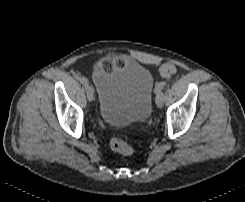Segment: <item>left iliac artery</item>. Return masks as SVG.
Instances as JSON below:
<instances>
[{
    "mask_svg": "<svg viewBox=\"0 0 245 202\" xmlns=\"http://www.w3.org/2000/svg\"><path fill=\"white\" fill-rule=\"evenodd\" d=\"M167 86L166 82H161L156 85L155 93L156 97L161 93L162 89Z\"/></svg>",
    "mask_w": 245,
    "mask_h": 202,
    "instance_id": "1",
    "label": "left iliac artery"
}]
</instances>
